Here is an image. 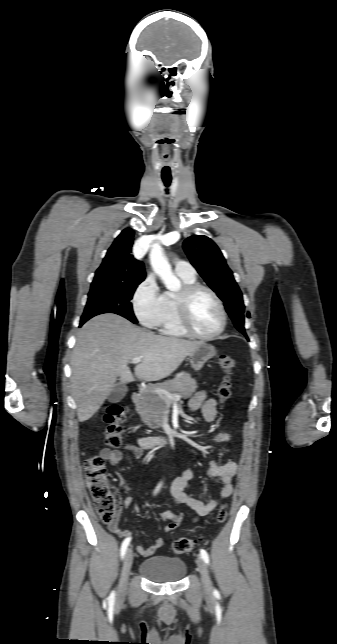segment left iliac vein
Wrapping results in <instances>:
<instances>
[{"label": "left iliac vein", "mask_w": 337, "mask_h": 644, "mask_svg": "<svg viewBox=\"0 0 337 644\" xmlns=\"http://www.w3.org/2000/svg\"><path fill=\"white\" fill-rule=\"evenodd\" d=\"M197 566H198V571L201 575L204 591L205 593L209 594L212 591V584L209 577L207 566L201 557L197 558Z\"/></svg>", "instance_id": "obj_1"}]
</instances>
